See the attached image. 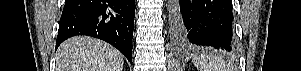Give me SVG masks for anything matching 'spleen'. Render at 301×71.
I'll use <instances>...</instances> for the list:
<instances>
[{"instance_id":"3e777b00","label":"spleen","mask_w":301,"mask_h":71,"mask_svg":"<svg viewBox=\"0 0 301 71\" xmlns=\"http://www.w3.org/2000/svg\"><path fill=\"white\" fill-rule=\"evenodd\" d=\"M193 64L199 71H229V65L225 60L217 57L213 54H201L195 56L193 59Z\"/></svg>"}]
</instances>
